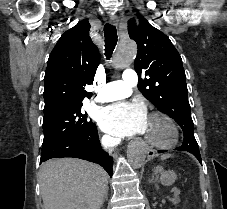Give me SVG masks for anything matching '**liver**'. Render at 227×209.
Here are the masks:
<instances>
[{"label": "liver", "instance_id": "obj_1", "mask_svg": "<svg viewBox=\"0 0 227 209\" xmlns=\"http://www.w3.org/2000/svg\"><path fill=\"white\" fill-rule=\"evenodd\" d=\"M39 183L45 209H100L108 175L81 159H51L41 165Z\"/></svg>", "mask_w": 227, "mask_h": 209}]
</instances>
